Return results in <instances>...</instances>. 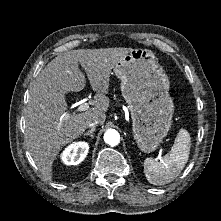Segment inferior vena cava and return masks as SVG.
<instances>
[{
  "mask_svg": "<svg viewBox=\"0 0 221 221\" xmlns=\"http://www.w3.org/2000/svg\"><path fill=\"white\" fill-rule=\"evenodd\" d=\"M100 123H101V120L99 118H95L88 123V127L95 128V126H97Z\"/></svg>",
  "mask_w": 221,
  "mask_h": 221,
  "instance_id": "obj_1",
  "label": "inferior vena cava"
}]
</instances>
